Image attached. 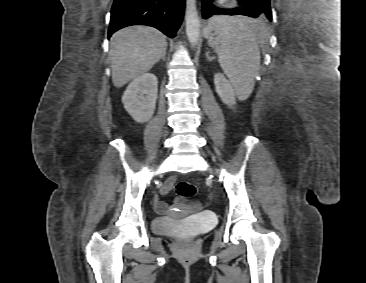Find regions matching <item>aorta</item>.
Here are the masks:
<instances>
[{"mask_svg":"<svg viewBox=\"0 0 366 283\" xmlns=\"http://www.w3.org/2000/svg\"><path fill=\"white\" fill-rule=\"evenodd\" d=\"M186 34L192 47H196L200 38V19L196 7V0H186Z\"/></svg>","mask_w":366,"mask_h":283,"instance_id":"obj_1","label":"aorta"}]
</instances>
